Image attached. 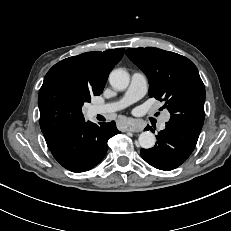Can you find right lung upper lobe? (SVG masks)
Instances as JSON below:
<instances>
[{
    "label": "right lung upper lobe",
    "instance_id": "right-lung-upper-lobe-1",
    "mask_svg": "<svg viewBox=\"0 0 231 231\" xmlns=\"http://www.w3.org/2000/svg\"><path fill=\"white\" fill-rule=\"evenodd\" d=\"M123 54L124 48L87 52L66 58L48 71L38 96L40 127L47 145L85 122L83 103L103 91Z\"/></svg>",
    "mask_w": 231,
    "mask_h": 231
}]
</instances>
